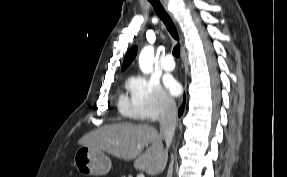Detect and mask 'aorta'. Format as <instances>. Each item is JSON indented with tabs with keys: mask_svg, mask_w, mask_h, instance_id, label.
Wrapping results in <instances>:
<instances>
[{
	"mask_svg": "<svg viewBox=\"0 0 287 177\" xmlns=\"http://www.w3.org/2000/svg\"><path fill=\"white\" fill-rule=\"evenodd\" d=\"M154 61V48L152 46L145 47L139 56V66L144 73L152 70Z\"/></svg>",
	"mask_w": 287,
	"mask_h": 177,
	"instance_id": "1",
	"label": "aorta"
}]
</instances>
